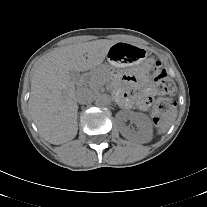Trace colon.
Returning <instances> with one entry per match:
<instances>
[{
	"instance_id": "1",
	"label": "colon",
	"mask_w": 207,
	"mask_h": 207,
	"mask_svg": "<svg viewBox=\"0 0 207 207\" xmlns=\"http://www.w3.org/2000/svg\"><path fill=\"white\" fill-rule=\"evenodd\" d=\"M154 79L156 81L157 90L160 95H173L176 92V86L164 66L157 60L151 59L149 61ZM174 103L168 98H160L156 102L153 118L156 123H159L162 118L172 112Z\"/></svg>"
}]
</instances>
